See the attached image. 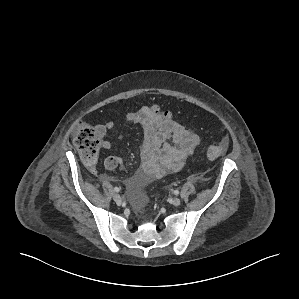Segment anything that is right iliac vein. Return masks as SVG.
Instances as JSON below:
<instances>
[{
  "label": "right iliac vein",
  "instance_id": "63e3f726",
  "mask_svg": "<svg viewBox=\"0 0 299 299\" xmlns=\"http://www.w3.org/2000/svg\"><path fill=\"white\" fill-rule=\"evenodd\" d=\"M113 199L116 203H120L121 202V196L119 194H114L113 195Z\"/></svg>",
  "mask_w": 299,
  "mask_h": 299
}]
</instances>
